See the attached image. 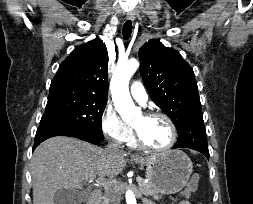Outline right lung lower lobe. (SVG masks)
Wrapping results in <instances>:
<instances>
[{"label": "right lung lower lobe", "mask_w": 253, "mask_h": 204, "mask_svg": "<svg viewBox=\"0 0 253 204\" xmlns=\"http://www.w3.org/2000/svg\"><path fill=\"white\" fill-rule=\"evenodd\" d=\"M54 136L75 137L95 145L99 144L101 141V139L96 136L81 132L80 130L61 126L40 125L36 132L33 150L44 140Z\"/></svg>", "instance_id": "1"}]
</instances>
